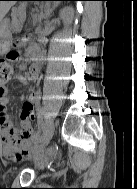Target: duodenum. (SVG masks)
<instances>
[{
    "label": "duodenum",
    "mask_w": 137,
    "mask_h": 189,
    "mask_svg": "<svg viewBox=\"0 0 137 189\" xmlns=\"http://www.w3.org/2000/svg\"><path fill=\"white\" fill-rule=\"evenodd\" d=\"M30 54L32 56H34L36 60H38L39 59V54H40L39 48L38 47H31L30 48Z\"/></svg>",
    "instance_id": "obj_1"
}]
</instances>
